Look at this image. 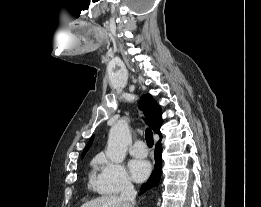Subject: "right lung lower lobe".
Listing matches in <instances>:
<instances>
[{
    "instance_id": "right-lung-lower-lobe-1",
    "label": "right lung lower lobe",
    "mask_w": 261,
    "mask_h": 207,
    "mask_svg": "<svg viewBox=\"0 0 261 207\" xmlns=\"http://www.w3.org/2000/svg\"><path fill=\"white\" fill-rule=\"evenodd\" d=\"M161 154H162V146L160 141H158L155 149V168L148 182L142 186L141 189L142 193L146 191L148 188L152 186H157L159 184L160 177H161V167H162Z\"/></svg>"
}]
</instances>
